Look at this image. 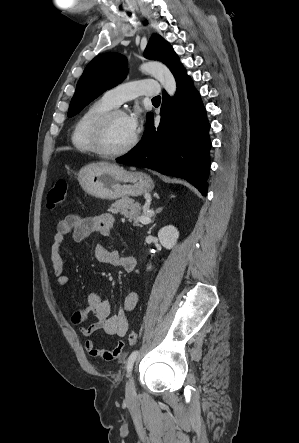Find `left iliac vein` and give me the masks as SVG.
I'll return each instance as SVG.
<instances>
[{
    "label": "left iliac vein",
    "instance_id": "obj_1",
    "mask_svg": "<svg viewBox=\"0 0 299 443\" xmlns=\"http://www.w3.org/2000/svg\"><path fill=\"white\" fill-rule=\"evenodd\" d=\"M136 394L135 381L133 374H130L126 383V397L132 399Z\"/></svg>",
    "mask_w": 299,
    "mask_h": 443
}]
</instances>
